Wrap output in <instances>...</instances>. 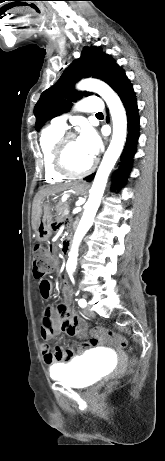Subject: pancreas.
I'll return each mask as SVG.
<instances>
[{"label":"pancreas","instance_id":"cf45deb5","mask_svg":"<svg viewBox=\"0 0 165 461\" xmlns=\"http://www.w3.org/2000/svg\"><path fill=\"white\" fill-rule=\"evenodd\" d=\"M68 209V203L59 202L55 208L56 210V220L62 221L64 218V211Z\"/></svg>","mask_w":165,"mask_h":461}]
</instances>
